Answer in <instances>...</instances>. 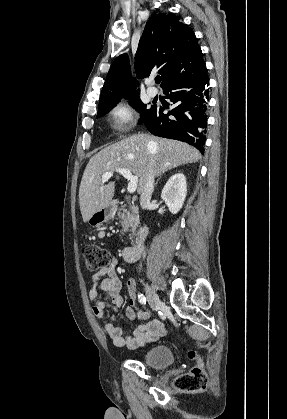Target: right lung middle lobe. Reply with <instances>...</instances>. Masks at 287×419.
Returning <instances> with one entry per match:
<instances>
[{
  "mask_svg": "<svg viewBox=\"0 0 287 419\" xmlns=\"http://www.w3.org/2000/svg\"><path fill=\"white\" fill-rule=\"evenodd\" d=\"M117 103H113L99 108L97 117L99 118L107 114ZM129 103L141 114L139 124L143 123L150 116L154 109V106L148 108L146 104L142 103L139 97L130 98Z\"/></svg>",
  "mask_w": 287,
  "mask_h": 419,
  "instance_id": "right-lung-middle-lobe-1",
  "label": "right lung middle lobe"
}]
</instances>
